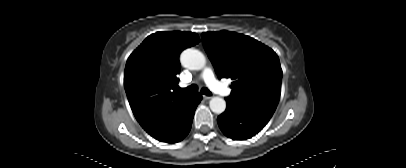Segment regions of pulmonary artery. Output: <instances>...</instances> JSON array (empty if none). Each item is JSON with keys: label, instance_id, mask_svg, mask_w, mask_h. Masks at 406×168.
Segmentation results:
<instances>
[{"label": "pulmonary artery", "instance_id": "e3ab8cb5", "mask_svg": "<svg viewBox=\"0 0 406 168\" xmlns=\"http://www.w3.org/2000/svg\"><path fill=\"white\" fill-rule=\"evenodd\" d=\"M201 78L206 83V85L215 93L221 96L230 95V89L216 80L211 68L206 67L201 73Z\"/></svg>", "mask_w": 406, "mask_h": 168}]
</instances>
